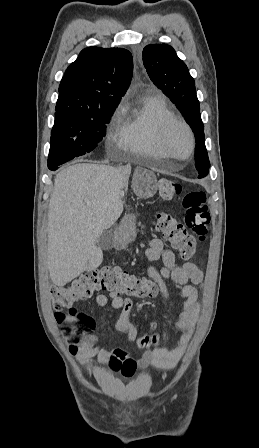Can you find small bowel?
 Here are the masks:
<instances>
[{
    "label": "small bowel",
    "mask_w": 259,
    "mask_h": 448,
    "mask_svg": "<svg viewBox=\"0 0 259 448\" xmlns=\"http://www.w3.org/2000/svg\"><path fill=\"white\" fill-rule=\"evenodd\" d=\"M147 257L151 262L162 260L163 266L160 269L151 266L148 270L149 276L155 282L161 295L164 298L169 297L165 280H171L184 298L181 313L175 322V327L181 331V336L172 349L160 347L158 340L154 344V348L145 349L136 358L131 357L120 348L106 349L97 344L94 335L88 336L80 344H69L70 354L81 365L94 370L98 379L103 383L106 382L107 374L100 370L101 367H106L110 373H118L124 378L132 377L137 369L148 367L159 370L173 369L182 358L194 332V326L200 313L196 286H202L204 282L202 272L192 262L178 266L174 253L166 249L163 242L158 238L152 240L147 251ZM96 303L101 307L110 305L112 308L120 310L116 330L126 333L130 341L137 339V328L129 320L133 307V301L130 298H123L114 294L109 296L99 294L96 296ZM156 328L157 323L153 322L151 329Z\"/></svg>",
    "instance_id": "small-bowel-1"
}]
</instances>
